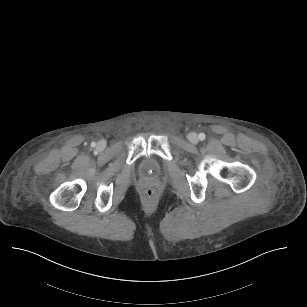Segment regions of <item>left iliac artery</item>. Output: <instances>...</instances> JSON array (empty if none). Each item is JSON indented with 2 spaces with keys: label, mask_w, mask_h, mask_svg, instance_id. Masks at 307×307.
Instances as JSON below:
<instances>
[{
  "label": "left iliac artery",
  "mask_w": 307,
  "mask_h": 307,
  "mask_svg": "<svg viewBox=\"0 0 307 307\" xmlns=\"http://www.w3.org/2000/svg\"><path fill=\"white\" fill-rule=\"evenodd\" d=\"M205 134L204 133H200L199 134V139L201 140V141H203L204 139H205Z\"/></svg>",
  "instance_id": "44dca946"
}]
</instances>
